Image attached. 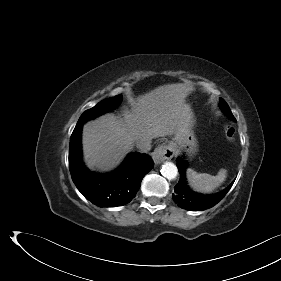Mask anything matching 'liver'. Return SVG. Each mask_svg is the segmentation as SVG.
<instances>
[{"mask_svg": "<svg viewBox=\"0 0 281 281\" xmlns=\"http://www.w3.org/2000/svg\"><path fill=\"white\" fill-rule=\"evenodd\" d=\"M192 88L183 83L167 84L131 100L123 118L106 114L83 127V155L91 170L116 167L134 143L176 135L188 126L193 113L185 98Z\"/></svg>", "mask_w": 281, "mask_h": 281, "instance_id": "6515ba94", "label": "liver"}]
</instances>
